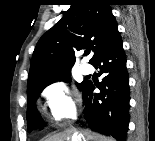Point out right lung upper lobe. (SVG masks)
I'll return each mask as SVG.
<instances>
[{
    "mask_svg": "<svg viewBox=\"0 0 155 141\" xmlns=\"http://www.w3.org/2000/svg\"><path fill=\"white\" fill-rule=\"evenodd\" d=\"M117 32V23L107 0H74L61 20L38 41L27 88L46 78L69 72L75 62V51L92 50V63Z\"/></svg>",
    "mask_w": 155,
    "mask_h": 141,
    "instance_id": "1",
    "label": "right lung upper lobe"
}]
</instances>
